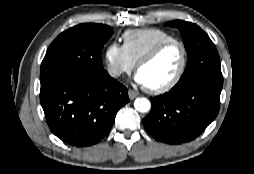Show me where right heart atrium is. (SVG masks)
I'll use <instances>...</instances> for the list:
<instances>
[{
  "label": "right heart atrium",
  "mask_w": 254,
  "mask_h": 174,
  "mask_svg": "<svg viewBox=\"0 0 254 174\" xmlns=\"http://www.w3.org/2000/svg\"><path fill=\"white\" fill-rule=\"evenodd\" d=\"M104 61L107 72L113 78H120L130 73L135 67V63L128 56L124 46L117 42H111L106 46Z\"/></svg>",
  "instance_id": "obj_1"
}]
</instances>
